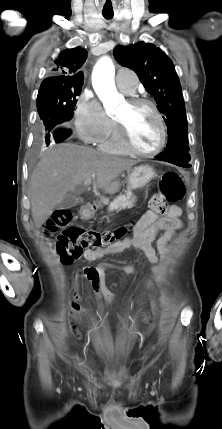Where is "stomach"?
Here are the masks:
<instances>
[{"mask_svg": "<svg viewBox=\"0 0 222 429\" xmlns=\"http://www.w3.org/2000/svg\"><path fill=\"white\" fill-rule=\"evenodd\" d=\"M156 176L155 170L149 165H140L131 170L128 175V186L130 190L144 188ZM100 206V205H99ZM93 211H87L84 216L91 217Z\"/></svg>", "mask_w": 222, "mask_h": 429, "instance_id": "1", "label": "stomach"}]
</instances>
